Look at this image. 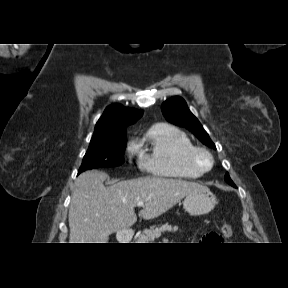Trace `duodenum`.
<instances>
[{
  "label": "duodenum",
  "instance_id": "410a0bca",
  "mask_svg": "<svg viewBox=\"0 0 288 288\" xmlns=\"http://www.w3.org/2000/svg\"><path fill=\"white\" fill-rule=\"evenodd\" d=\"M118 237L122 243H127L132 240L133 235L127 231H121Z\"/></svg>",
  "mask_w": 288,
  "mask_h": 288
}]
</instances>
